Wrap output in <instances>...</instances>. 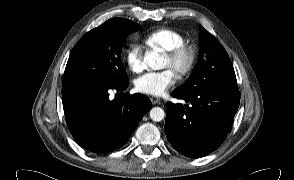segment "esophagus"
I'll use <instances>...</instances> for the list:
<instances>
[{"mask_svg":"<svg viewBox=\"0 0 294 180\" xmlns=\"http://www.w3.org/2000/svg\"><path fill=\"white\" fill-rule=\"evenodd\" d=\"M151 102H152V104H158V103H160V99L157 97H151Z\"/></svg>","mask_w":294,"mask_h":180,"instance_id":"esophagus-1","label":"esophagus"}]
</instances>
